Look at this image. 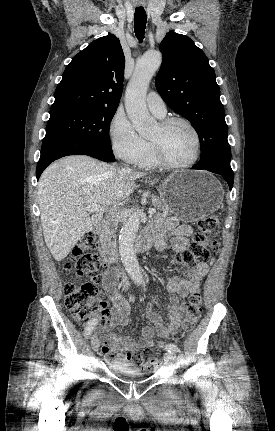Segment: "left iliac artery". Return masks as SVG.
Returning <instances> with one entry per match:
<instances>
[{
	"instance_id": "44dca946",
	"label": "left iliac artery",
	"mask_w": 275,
	"mask_h": 431,
	"mask_svg": "<svg viewBox=\"0 0 275 431\" xmlns=\"http://www.w3.org/2000/svg\"><path fill=\"white\" fill-rule=\"evenodd\" d=\"M165 349L170 353H175L179 351V348L173 343L167 344Z\"/></svg>"
}]
</instances>
